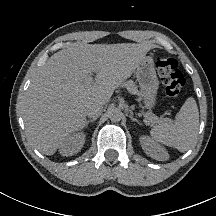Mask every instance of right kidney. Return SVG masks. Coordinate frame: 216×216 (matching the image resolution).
<instances>
[{
  "mask_svg": "<svg viewBox=\"0 0 216 216\" xmlns=\"http://www.w3.org/2000/svg\"><path fill=\"white\" fill-rule=\"evenodd\" d=\"M85 143L83 133L67 135L59 142V152L62 156H72L78 153Z\"/></svg>",
  "mask_w": 216,
  "mask_h": 216,
  "instance_id": "obj_1",
  "label": "right kidney"
}]
</instances>
